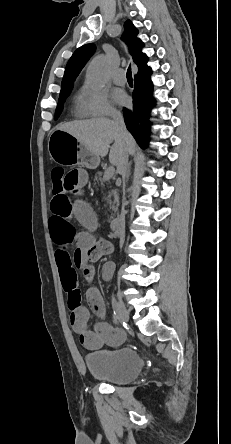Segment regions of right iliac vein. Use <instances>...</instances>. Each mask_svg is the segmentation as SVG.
I'll return each mask as SVG.
<instances>
[{
  "mask_svg": "<svg viewBox=\"0 0 231 444\" xmlns=\"http://www.w3.org/2000/svg\"><path fill=\"white\" fill-rule=\"evenodd\" d=\"M117 310L119 313V319L123 322H128L129 313L120 298H119V303L117 304Z\"/></svg>",
  "mask_w": 231,
  "mask_h": 444,
  "instance_id": "obj_1",
  "label": "right iliac vein"
}]
</instances>
